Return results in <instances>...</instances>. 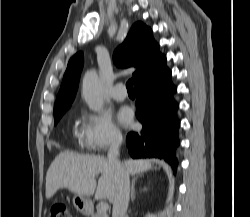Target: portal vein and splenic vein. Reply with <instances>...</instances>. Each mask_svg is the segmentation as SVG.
<instances>
[{
    "mask_svg": "<svg viewBox=\"0 0 250 217\" xmlns=\"http://www.w3.org/2000/svg\"><path fill=\"white\" fill-rule=\"evenodd\" d=\"M108 208H109L108 203H103V204H101V206H100V210H101L102 212H106V211L108 210Z\"/></svg>",
    "mask_w": 250,
    "mask_h": 217,
    "instance_id": "portal-vein-and-splenic-vein-1",
    "label": "portal vein and splenic vein"
}]
</instances>
